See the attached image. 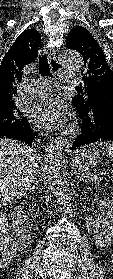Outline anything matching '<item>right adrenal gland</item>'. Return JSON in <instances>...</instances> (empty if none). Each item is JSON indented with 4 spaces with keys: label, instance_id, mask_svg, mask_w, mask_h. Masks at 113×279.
Returning <instances> with one entry per match:
<instances>
[{
    "label": "right adrenal gland",
    "instance_id": "right-adrenal-gland-1",
    "mask_svg": "<svg viewBox=\"0 0 113 279\" xmlns=\"http://www.w3.org/2000/svg\"><path fill=\"white\" fill-rule=\"evenodd\" d=\"M40 178H39V173L37 172L36 173V178L35 180L33 181V184H32V193H35V189L38 190V186L40 185Z\"/></svg>",
    "mask_w": 113,
    "mask_h": 279
}]
</instances>
